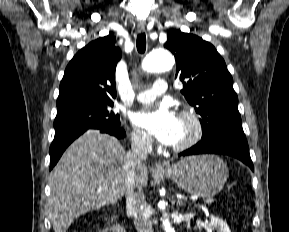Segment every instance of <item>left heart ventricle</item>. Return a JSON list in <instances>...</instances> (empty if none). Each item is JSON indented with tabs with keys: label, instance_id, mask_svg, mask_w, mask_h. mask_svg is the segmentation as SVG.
<instances>
[{
	"label": "left heart ventricle",
	"instance_id": "1",
	"mask_svg": "<svg viewBox=\"0 0 289 232\" xmlns=\"http://www.w3.org/2000/svg\"><path fill=\"white\" fill-rule=\"evenodd\" d=\"M192 134V125L186 120L179 119L178 137L174 145H178L186 141Z\"/></svg>",
	"mask_w": 289,
	"mask_h": 232
}]
</instances>
